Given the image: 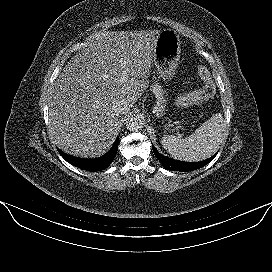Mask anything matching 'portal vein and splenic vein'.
Masks as SVG:
<instances>
[{"label":"portal vein and splenic vein","instance_id":"portal-vein-and-splenic-vein-1","mask_svg":"<svg viewBox=\"0 0 272 272\" xmlns=\"http://www.w3.org/2000/svg\"><path fill=\"white\" fill-rule=\"evenodd\" d=\"M125 64H126V63L124 62V63H123V65H125ZM123 77H124V78H127V77H128V75H127V72H126V71H123Z\"/></svg>","mask_w":272,"mask_h":272}]
</instances>
